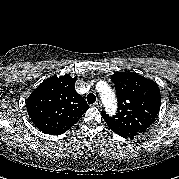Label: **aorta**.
I'll return each mask as SVG.
<instances>
[{
    "mask_svg": "<svg viewBox=\"0 0 179 179\" xmlns=\"http://www.w3.org/2000/svg\"><path fill=\"white\" fill-rule=\"evenodd\" d=\"M98 90L106 111L113 115L117 108L116 97L113 90L103 81L98 83Z\"/></svg>",
    "mask_w": 179,
    "mask_h": 179,
    "instance_id": "1",
    "label": "aorta"
}]
</instances>
